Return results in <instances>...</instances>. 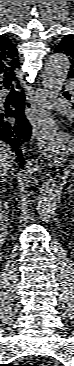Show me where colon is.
<instances>
[{
	"label": "colon",
	"instance_id": "obj_1",
	"mask_svg": "<svg viewBox=\"0 0 74 366\" xmlns=\"http://www.w3.org/2000/svg\"><path fill=\"white\" fill-rule=\"evenodd\" d=\"M28 366H44V365H42L40 363H33V364L28 365Z\"/></svg>",
	"mask_w": 74,
	"mask_h": 366
}]
</instances>
